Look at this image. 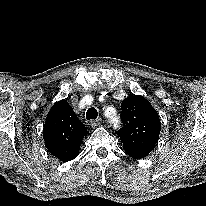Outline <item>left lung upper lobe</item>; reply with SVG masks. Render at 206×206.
<instances>
[{
	"label": "left lung upper lobe",
	"mask_w": 206,
	"mask_h": 206,
	"mask_svg": "<svg viewBox=\"0 0 206 206\" xmlns=\"http://www.w3.org/2000/svg\"><path fill=\"white\" fill-rule=\"evenodd\" d=\"M121 107L123 127L116 133L122 140L125 152L148 155L157 143L161 130L157 111L140 95L125 98Z\"/></svg>",
	"instance_id": "5c2ea615"
}]
</instances>
